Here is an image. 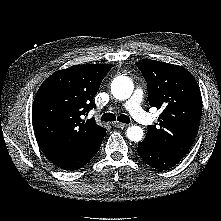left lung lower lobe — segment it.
Listing matches in <instances>:
<instances>
[{
  "label": "left lung lower lobe",
  "mask_w": 221,
  "mask_h": 221,
  "mask_svg": "<svg viewBox=\"0 0 221 221\" xmlns=\"http://www.w3.org/2000/svg\"><path fill=\"white\" fill-rule=\"evenodd\" d=\"M137 153L149 166L160 170L175 166L183 158L154 148L145 142L138 143Z\"/></svg>",
  "instance_id": "left-lung-lower-lobe-1"
}]
</instances>
